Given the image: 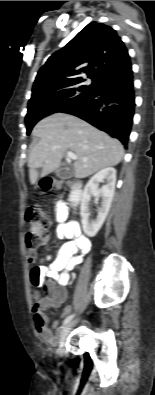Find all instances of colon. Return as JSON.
Listing matches in <instances>:
<instances>
[{"mask_svg":"<svg viewBox=\"0 0 155 395\" xmlns=\"http://www.w3.org/2000/svg\"><path fill=\"white\" fill-rule=\"evenodd\" d=\"M28 228L25 234V243L28 250V260L30 263H36L39 257V250L50 240V220L46 212L38 205L31 206L27 209L25 215ZM47 293H53L55 296L61 293H54L52 286H47Z\"/></svg>","mask_w":155,"mask_h":395,"instance_id":"1","label":"colon"}]
</instances>
